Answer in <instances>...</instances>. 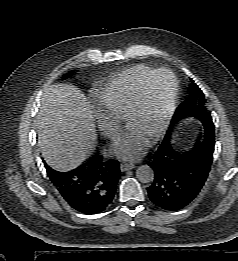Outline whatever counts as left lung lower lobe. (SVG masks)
Listing matches in <instances>:
<instances>
[{
    "label": "left lung lower lobe",
    "instance_id": "left-lung-lower-lobe-1",
    "mask_svg": "<svg viewBox=\"0 0 238 261\" xmlns=\"http://www.w3.org/2000/svg\"><path fill=\"white\" fill-rule=\"evenodd\" d=\"M202 115L205 129L202 145L178 153L169 140H163L149 164L154 181L147 188L150 200L158 207L177 211L187 206L203 187L213 159L215 144L214 124Z\"/></svg>",
    "mask_w": 238,
    "mask_h": 261
}]
</instances>
